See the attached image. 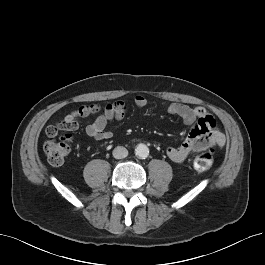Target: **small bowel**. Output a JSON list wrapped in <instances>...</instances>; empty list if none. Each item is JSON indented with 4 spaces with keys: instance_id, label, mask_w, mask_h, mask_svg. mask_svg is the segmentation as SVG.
I'll return each instance as SVG.
<instances>
[{
    "instance_id": "small-bowel-1",
    "label": "small bowel",
    "mask_w": 265,
    "mask_h": 265,
    "mask_svg": "<svg viewBox=\"0 0 265 265\" xmlns=\"http://www.w3.org/2000/svg\"><path fill=\"white\" fill-rule=\"evenodd\" d=\"M135 104L143 108L147 105V100L144 96L138 95L135 97ZM127 109V105L121 101L109 105L86 127L87 135L95 140L110 139L112 133L107 130L108 123L113 120H122ZM167 111L171 115L181 117L186 124L193 125L189 135L181 145L171 146L167 149V156L172 162L181 163L191 153L211 146L223 147L225 145L224 134L218 129L215 119L208 115L203 107L192 108L181 103H171L167 106ZM67 116L75 118L76 112H71ZM209 132L210 135H208Z\"/></svg>"
}]
</instances>
